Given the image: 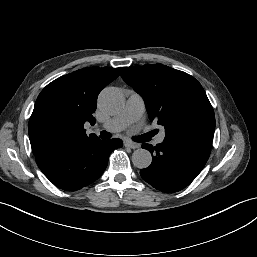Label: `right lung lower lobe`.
Here are the masks:
<instances>
[{
  "label": "right lung lower lobe",
  "instance_id": "98d812e1",
  "mask_svg": "<svg viewBox=\"0 0 257 257\" xmlns=\"http://www.w3.org/2000/svg\"><path fill=\"white\" fill-rule=\"evenodd\" d=\"M122 145L120 139L100 140L97 137L61 149L36 162L55 186L66 191H75L97 180L107 167L110 153Z\"/></svg>",
  "mask_w": 257,
  "mask_h": 257
}]
</instances>
